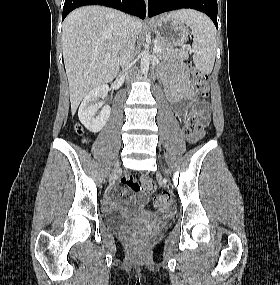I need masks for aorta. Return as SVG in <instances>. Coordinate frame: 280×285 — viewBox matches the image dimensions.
I'll use <instances>...</instances> for the list:
<instances>
[{
	"instance_id": "1",
	"label": "aorta",
	"mask_w": 280,
	"mask_h": 285,
	"mask_svg": "<svg viewBox=\"0 0 280 285\" xmlns=\"http://www.w3.org/2000/svg\"><path fill=\"white\" fill-rule=\"evenodd\" d=\"M150 58L147 51V45H145L144 51L141 53V72L143 75H147L149 70Z\"/></svg>"
}]
</instances>
